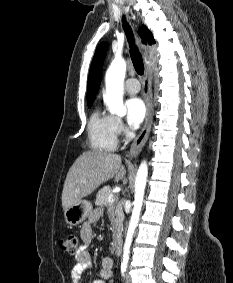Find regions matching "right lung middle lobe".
<instances>
[{
  "mask_svg": "<svg viewBox=\"0 0 233 283\" xmlns=\"http://www.w3.org/2000/svg\"><path fill=\"white\" fill-rule=\"evenodd\" d=\"M91 106H92V104H89V105H88V107H91Z\"/></svg>",
  "mask_w": 233,
  "mask_h": 283,
  "instance_id": "dd1d6c3e",
  "label": "right lung middle lobe"
}]
</instances>
